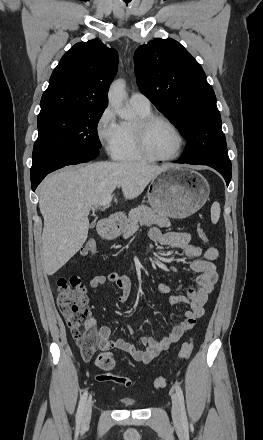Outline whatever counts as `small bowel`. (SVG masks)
Returning <instances> with one entry per match:
<instances>
[{
    "instance_id": "obj_1",
    "label": "small bowel",
    "mask_w": 263,
    "mask_h": 440,
    "mask_svg": "<svg viewBox=\"0 0 263 440\" xmlns=\"http://www.w3.org/2000/svg\"><path fill=\"white\" fill-rule=\"evenodd\" d=\"M148 239L166 247L181 249L187 258L192 259L189 268L197 274V277L196 288H189L186 295H169L168 286L160 284L159 291L163 295H168L170 304L184 303L189 306V309L185 312L184 320L174 326L166 336L158 340L146 336L134 337L135 341L141 344L143 348H138L134 342L121 338H112L111 330L106 325H100L96 329V348L101 350L114 348L122 350L130 354L135 361L143 364L150 363L163 350L179 341L195 325L197 319L202 316L203 306L217 282V272L214 265V260L218 257L216 248L208 247L202 250L191 242V237L186 232L162 233L157 228H153L148 232ZM107 283H112L119 288L120 293L117 297L119 303H125L129 299L132 284L129 276L126 274H119L117 272L98 274L89 280L88 285L94 289ZM91 323L96 325V320H92ZM127 328L132 333V329L129 326Z\"/></svg>"
}]
</instances>
